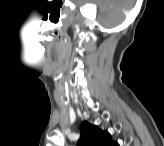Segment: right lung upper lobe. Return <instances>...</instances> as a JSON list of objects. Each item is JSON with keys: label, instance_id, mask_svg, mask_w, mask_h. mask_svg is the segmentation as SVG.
<instances>
[{"label": "right lung upper lobe", "instance_id": "1", "mask_svg": "<svg viewBox=\"0 0 164 146\" xmlns=\"http://www.w3.org/2000/svg\"><path fill=\"white\" fill-rule=\"evenodd\" d=\"M79 146H115L108 132L100 130L97 126L84 122L81 126Z\"/></svg>", "mask_w": 164, "mask_h": 146}]
</instances>
